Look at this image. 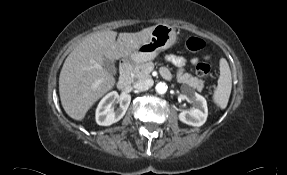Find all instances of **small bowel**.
Listing matches in <instances>:
<instances>
[{
  "label": "small bowel",
  "instance_id": "c3829d8e",
  "mask_svg": "<svg viewBox=\"0 0 287 175\" xmlns=\"http://www.w3.org/2000/svg\"><path fill=\"white\" fill-rule=\"evenodd\" d=\"M167 60L170 61L171 63H173L176 67L178 68H182L184 65H185V59L181 56H177V55H173V54H170L168 55L167 57ZM198 59L197 58H194L192 60V63H197ZM161 73L163 76H165L166 78H169L170 75H169V72L165 69V68H162L161 69Z\"/></svg>",
  "mask_w": 287,
  "mask_h": 175
}]
</instances>
